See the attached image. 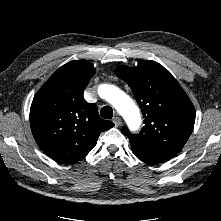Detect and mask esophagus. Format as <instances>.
Here are the masks:
<instances>
[{
    "label": "esophagus",
    "mask_w": 221,
    "mask_h": 221,
    "mask_svg": "<svg viewBox=\"0 0 221 221\" xmlns=\"http://www.w3.org/2000/svg\"><path fill=\"white\" fill-rule=\"evenodd\" d=\"M113 123H114V125H115L116 127L120 126V125H121V119H120V117L115 116V117L113 118Z\"/></svg>",
    "instance_id": "34e87169"
}]
</instances>
